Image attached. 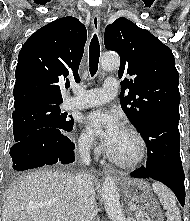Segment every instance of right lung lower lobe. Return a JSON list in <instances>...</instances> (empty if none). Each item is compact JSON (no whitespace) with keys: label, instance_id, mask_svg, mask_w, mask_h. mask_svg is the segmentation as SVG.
<instances>
[{"label":"right lung lower lobe","instance_id":"98d812e1","mask_svg":"<svg viewBox=\"0 0 190 221\" xmlns=\"http://www.w3.org/2000/svg\"><path fill=\"white\" fill-rule=\"evenodd\" d=\"M73 125L65 128H40L25 139L15 143L10 149L14 170L51 165L57 162L69 164L75 160V145L65 136Z\"/></svg>","mask_w":190,"mask_h":221}]
</instances>
